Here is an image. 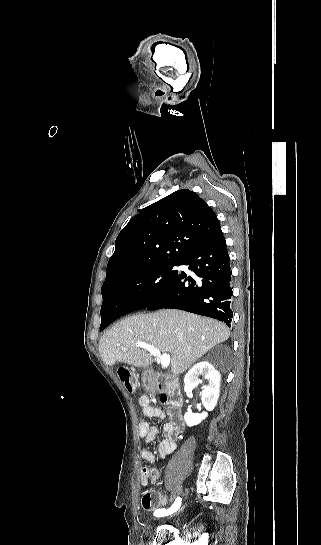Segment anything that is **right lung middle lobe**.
<instances>
[{
    "mask_svg": "<svg viewBox=\"0 0 321 545\" xmlns=\"http://www.w3.org/2000/svg\"><path fill=\"white\" fill-rule=\"evenodd\" d=\"M177 264H162L136 273L122 279L113 287L101 289L104 305L112 297H128L140 304L147 305L158 297L178 275L172 268ZM105 320L101 318L100 330Z\"/></svg>",
    "mask_w": 321,
    "mask_h": 545,
    "instance_id": "dd1d6c3e",
    "label": "right lung middle lobe"
}]
</instances>
